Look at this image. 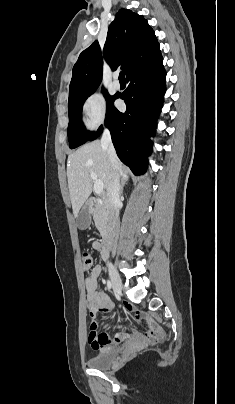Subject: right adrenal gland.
Returning <instances> with one entry per match:
<instances>
[{
  "label": "right adrenal gland",
  "mask_w": 235,
  "mask_h": 404,
  "mask_svg": "<svg viewBox=\"0 0 235 404\" xmlns=\"http://www.w3.org/2000/svg\"><path fill=\"white\" fill-rule=\"evenodd\" d=\"M128 181H129V176H128V175L123 176L122 181H121L120 194H122L123 188H124L125 184H126Z\"/></svg>",
  "instance_id": "2a0ac1e0"
}]
</instances>
